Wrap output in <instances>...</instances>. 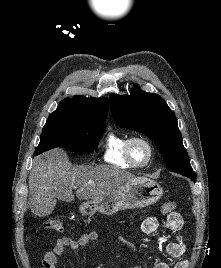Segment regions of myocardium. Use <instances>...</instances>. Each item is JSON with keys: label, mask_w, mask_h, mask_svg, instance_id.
<instances>
[{"label": "myocardium", "mask_w": 221, "mask_h": 268, "mask_svg": "<svg viewBox=\"0 0 221 268\" xmlns=\"http://www.w3.org/2000/svg\"><path fill=\"white\" fill-rule=\"evenodd\" d=\"M136 142L143 143L147 148V151H148L147 159L143 163L136 162L132 156V146ZM153 155H154V148H153L151 141L147 137L137 135V136H132L128 138V140L126 141L125 156L133 167L142 168V167L147 166L151 162Z\"/></svg>", "instance_id": "obj_1"}]
</instances>
